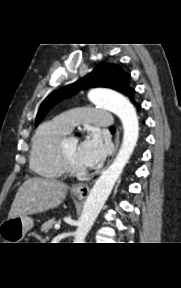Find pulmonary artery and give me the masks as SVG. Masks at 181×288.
<instances>
[{
  "label": "pulmonary artery",
  "instance_id": "e3ab8cb5",
  "mask_svg": "<svg viewBox=\"0 0 181 288\" xmlns=\"http://www.w3.org/2000/svg\"><path fill=\"white\" fill-rule=\"evenodd\" d=\"M55 120L68 132L78 124L110 128L111 114L103 109L81 107L58 115Z\"/></svg>",
  "mask_w": 181,
  "mask_h": 288
}]
</instances>
